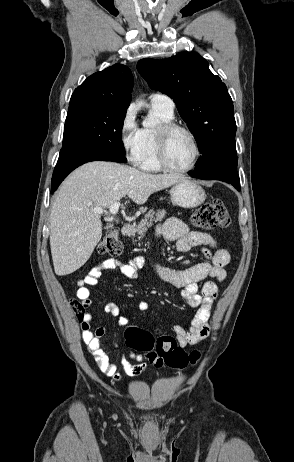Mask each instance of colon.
Listing matches in <instances>:
<instances>
[{
    "label": "colon",
    "mask_w": 294,
    "mask_h": 462,
    "mask_svg": "<svg viewBox=\"0 0 294 462\" xmlns=\"http://www.w3.org/2000/svg\"><path fill=\"white\" fill-rule=\"evenodd\" d=\"M192 223L200 229L227 227L230 217L224 203L220 199L204 203L192 216ZM98 252L110 256H118L122 252V244L118 239V229L111 227L98 245ZM70 306L78 319L84 316L85 308L81 301L72 299ZM128 347L146 353L147 359L156 367L168 366L183 369L194 365L200 358L198 349L185 352L172 336L161 335L157 339L149 332L137 327H129L125 332Z\"/></svg>",
    "instance_id": "5ec220e1"
}]
</instances>
